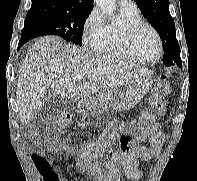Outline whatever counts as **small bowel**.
<instances>
[{
    "label": "small bowel",
    "mask_w": 197,
    "mask_h": 181,
    "mask_svg": "<svg viewBox=\"0 0 197 181\" xmlns=\"http://www.w3.org/2000/svg\"><path fill=\"white\" fill-rule=\"evenodd\" d=\"M119 128L123 133L122 140L128 143L130 149L115 151L104 166L99 162V158L104 155L107 142L75 148L61 141L46 139L47 151L53 155L67 153L76 156L79 170L93 176L96 181H121L122 173L127 178L138 181L142 176L139 161H149L154 158L162 148L165 135L159 123H154L149 134L150 147H145L134 142L126 125H121ZM32 160L42 181H68L53 168L46 151L38 150L32 155Z\"/></svg>",
    "instance_id": "1"
}]
</instances>
